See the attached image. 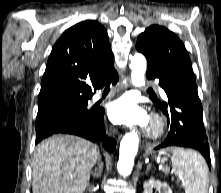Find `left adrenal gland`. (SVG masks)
<instances>
[{"label":"left adrenal gland","instance_id":"left-adrenal-gland-1","mask_svg":"<svg viewBox=\"0 0 221 193\" xmlns=\"http://www.w3.org/2000/svg\"><path fill=\"white\" fill-rule=\"evenodd\" d=\"M150 170V166H147L146 172H148Z\"/></svg>","mask_w":221,"mask_h":193}]
</instances>
